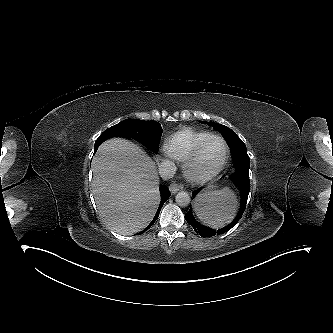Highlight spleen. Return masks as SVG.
Masks as SVG:
<instances>
[{
	"instance_id": "1",
	"label": "spleen",
	"mask_w": 333,
	"mask_h": 333,
	"mask_svg": "<svg viewBox=\"0 0 333 333\" xmlns=\"http://www.w3.org/2000/svg\"><path fill=\"white\" fill-rule=\"evenodd\" d=\"M236 207L234 192L223 188L200 194L195 203V213L203 223L220 228L234 218Z\"/></svg>"
}]
</instances>
